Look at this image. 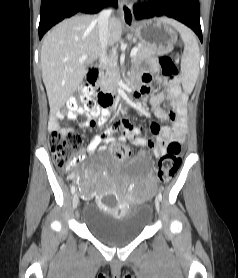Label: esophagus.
Segmentation results:
<instances>
[{"label":"esophagus","instance_id":"1","mask_svg":"<svg viewBox=\"0 0 238 278\" xmlns=\"http://www.w3.org/2000/svg\"><path fill=\"white\" fill-rule=\"evenodd\" d=\"M119 7H120L122 20L126 24L132 25L134 23V14H133L131 4L128 2V0H121Z\"/></svg>","mask_w":238,"mask_h":278}]
</instances>
